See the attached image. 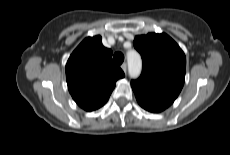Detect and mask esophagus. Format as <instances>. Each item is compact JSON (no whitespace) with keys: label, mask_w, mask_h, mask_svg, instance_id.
I'll list each match as a JSON object with an SVG mask.
<instances>
[{"label":"esophagus","mask_w":230,"mask_h":155,"mask_svg":"<svg viewBox=\"0 0 230 155\" xmlns=\"http://www.w3.org/2000/svg\"><path fill=\"white\" fill-rule=\"evenodd\" d=\"M121 69L126 73V71H127V64H126V63H123V64L121 65Z\"/></svg>","instance_id":"34e87169"}]
</instances>
